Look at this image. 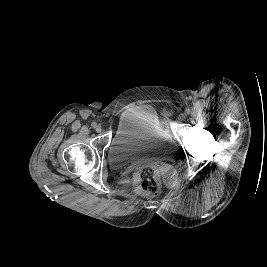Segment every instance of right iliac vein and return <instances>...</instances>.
<instances>
[{
  "mask_svg": "<svg viewBox=\"0 0 267 267\" xmlns=\"http://www.w3.org/2000/svg\"><path fill=\"white\" fill-rule=\"evenodd\" d=\"M96 131H97L98 133H100V132L102 131V127H101L100 125H97V126H96Z\"/></svg>",
  "mask_w": 267,
  "mask_h": 267,
  "instance_id": "63e3f726",
  "label": "right iliac vein"
}]
</instances>
